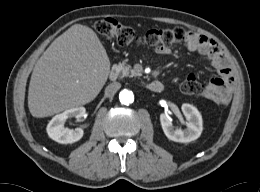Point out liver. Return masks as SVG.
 Masks as SVG:
<instances>
[{"instance_id":"6515ba94","label":"liver","mask_w":260,"mask_h":192,"mask_svg":"<svg viewBox=\"0 0 260 192\" xmlns=\"http://www.w3.org/2000/svg\"><path fill=\"white\" fill-rule=\"evenodd\" d=\"M110 72V60L96 33L75 24L56 38L33 69L28 108L33 117L52 116L89 103Z\"/></svg>"}]
</instances>
